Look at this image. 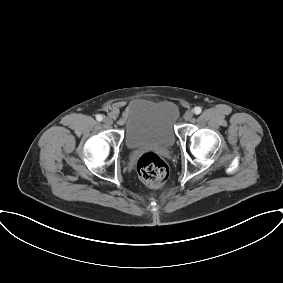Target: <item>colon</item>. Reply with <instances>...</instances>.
<instances>
[{
	"instance_id": "1",
	"label": "colon",
	"mask_w": 283,
	"mask_h": 283,
	"mask_svg": "<svg viewBox=\"0 0 283 283\" xmlns=\"http://www.w3.org/2000/svg\"><path fill=\"white\" fill-rule=\"evenodd\" d=\"M137 171L141 181L152 188L161 187L169 176L167 164L154 152H146L139 158Z\"/></svg>"
}]
</instances>
